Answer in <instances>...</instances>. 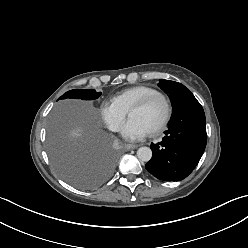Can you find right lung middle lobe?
Listing matches in <instances>:
<instances>
[{"label": "right lung middle lobe", "mask_w": 248, "mask_h": 248, "mask_svg": "<svg viewBox=\"0 0 248 248\" xmlns=\"http://www.w3.org/2000/svg\"><path fill=\"white\" fill-rule=\"evenodd\" d=\"M101 95L94 89H74L59 99L94 100ZM48 150L59 175L81 189L95 188L111 175L115 159L108 143L93 123L88 136L82 141L68 139L62 131L51 129Z\"/></svg>", "instance_id": "obj_1"}]
</instances>
